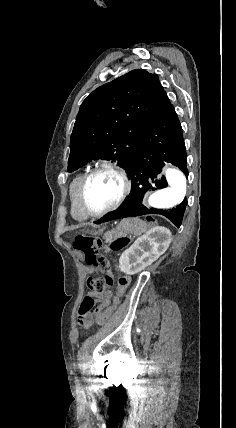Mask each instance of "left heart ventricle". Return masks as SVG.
Masks as SVG:
<instances>
[{
	"mask_svg": "<svg viewBox=\"0 0 236 428\" xmlns=\"http://www.w3.org/2000/svg\"><path fill=\"white\" fill-rule=\"evenodd\" d=\"M123 191V183L113 173L94 176L86 187V201L93 210H102L113 205Z\"/></svg>",
	"mask_w": 236,
	"mask_h": 428,
	"instance_id": "obj_1",
	"label": "left heart ventricle"
}]
</instances>
